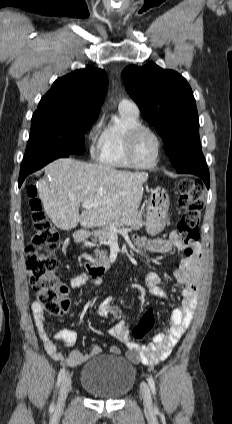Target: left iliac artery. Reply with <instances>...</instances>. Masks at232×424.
<instances>
[{"mask_svg": "<svg viewBox=\"0 0 232 424\" xmlns=\"http://www.w3.org/2000/svg\"><path fill=\"white\" fill-rule=\"evenodd\" d=\"M147 381H148V384L150 386V389H151L153 395H155L156 394V392H155L156 391V388H155V381H154L153 377L152 376H148ZM155 410L158 411V408L155 407Z\"/></svg>", "mask_w": 232, "mask_h": 424, "instance_id": "1", "label": "left iliac artery"}]
</instances>
